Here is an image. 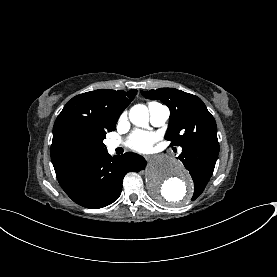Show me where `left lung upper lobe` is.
<instances>
[{
	"instance_id": "1",
	"label": "left lung upper lobe",
	"mask_w": 277,
	"mask_h": 277,
	"mask_svg": "<svg viewBox=\"0 0 277 277\" xmlns=\"http://www.w3.org/2000/svg\"><path fill=\"white\" fill-rule=\"evenodd\" d=\"M141 93L169 107V126L165 138L171 142L170 146L183 147L207 139L217 140L216 122L199 97L174 88ZM210 177L204 176L194 182V199L203 192Z\"/></svg>"
}]
</instances>
